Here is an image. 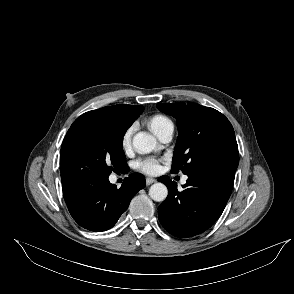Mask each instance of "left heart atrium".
<instances>
[{"mask_svg":"<svg viewBox=\"0 0 294 294\" xmlns=\"http://www.w3.org/2000/svg\"><path fill=\"white\" fill-rule=\"evenodd\" d=\"M136 168L146 174L154 175L159 171V162L155 158H145L136 162Z\"/></svg>","mask_w":294,"mask_h":294,"instance_id":"1","label":"left heart atrium"}]
</instances>
